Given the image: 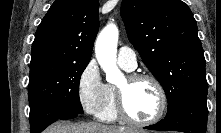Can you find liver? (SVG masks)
Returning <instances> with one entry per match:
<instances>
[{
  "label": "liver",
  "instance_id": "obj_1",
  "mask_svg": "<svg viewBox=\"0 0 221 133\" xmlns=\"http://www.w3.org/2000/svg\"><path fill=\"white\" fill-rule=\"evenodd\" d=\"M44 133H137V130L95 122L76 124L70 121H58L49 126Z\"/></svg>",
  "mask_w": 221,
  "mask_h": 133
}]
</instances>
